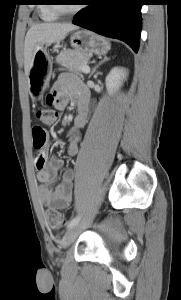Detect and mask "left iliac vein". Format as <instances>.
I'll return each mask as SVG.
<instances>
[{
    "mask_svg": "<svg viewBox=\"0 0 181 300\" xmlns=\"http://www.w3.org/2000/svg\"><path fill=\"white\" fill-rule=\"evenodd\" d=\"M87 226L88 222L85 221L82 223H77L76 225L69 228L62 238V246L65 248L70 246L74 242L78 234Z\"/></svg>",
    "mask_w": 181,
    "mask_h": 300,
    "instance_id": "left-iliac-vein-1",
    "label": "left iliac vein"
}]
</instances>
